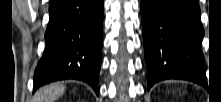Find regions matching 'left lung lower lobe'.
<instances>
[{
    "mask_svg": "<svg viewBox=\"0 0 221 102\" xmlns=\"http://www.w3.org/2000/svg\"><path fill=\"white\" fill-rule=\"evenodd\" d=\"M148 89L165 79L207 85L196 0H141Z\"/></svg>",
    "mask_w": 221,
    "mask_h": 102,
    "instance_id": "left-lung-lower-lobe-1",
    "label": "left lung lower lobe"
}]
</instances>
